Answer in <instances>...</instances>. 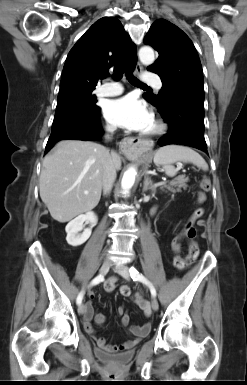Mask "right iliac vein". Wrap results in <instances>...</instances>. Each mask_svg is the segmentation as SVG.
I'll use <instances>...</instances> for the list:
<instances>
[{
	"label": "right iliac vein",
	"mask_w": 247,
	"mask_h": 385,
	"mask_svg": "<svg viewBox=\"0 0 247 385\" xmlns=\"http://www.w3.org/2000/svg\"><path fill=\"white\" fill-rule=\"evenodd\" d=\"M111 267V262L109 260H105L100 268V274L101 275H105L107 274V272L109 271ZM86 312V307L84 304H80L79 307H78V313L80 315H84Z\"/></svg>",
	"instance_id": "63e3f726"
}]
</instances>
